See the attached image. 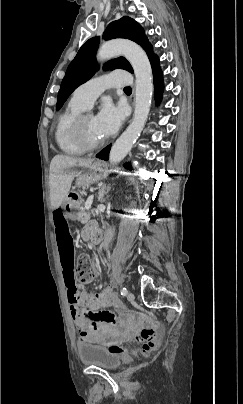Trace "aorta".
<instances>
[{
  "label": "aorta",
  "instance_id": "obj_1",
  "mask_svg": "<svg viewBox=\"0 0 243 404\" xmlns=\"http://www.w3.org/2000/svg\"><path fill=\"white\" fill-rule=\"evenodd\" d=\"M115 56H125L134 70L135 112L131 124L111 148L110 164H119L131 152L133 144L147 122L153 92L151 64L140 46L130 40H110V42H104L97 52L99 62H105Z\"/></svg>",
  "mask_w": 243,
  "mask_h": 404
}]
</instances>
